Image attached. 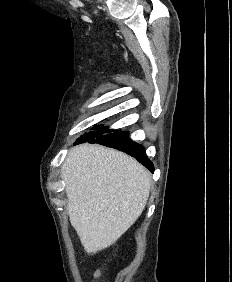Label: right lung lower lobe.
Listing matches in <instances>:
<instances>
[{
	"label": "right lung lower lobe",
	"mask_w": 232,
	"mask_h": 282,
	"mask_svg": "<svg viewBox=\"0 0 232 282\" xmlns=\"http://www.w3.org/2000/svg\"><path fill=\"white\" fill-rule=\"evenodd\" d=\"M88 141L89 143H98L101 145H105L107 147H111L114 149H118L123 151L132 157L136 158L142 165L147 167L151 172L154 171V166L152 162L148 159L145 153V149L142 145L137 144L128 139V132H114L109 134H102L95 137H92L91 140H81L79 142Z\"/></svg>",
	"instance_id": "right-lung-lower-lobe-1"
}]
</instances>
